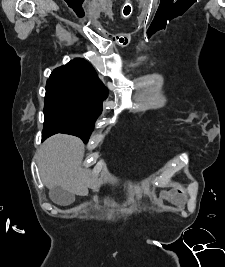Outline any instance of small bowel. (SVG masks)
<instances>
[{
  "label": "small bowel",
  "instance_id": "small-bowel-1",
  "mask_svg": "<svg viewBox=\"0 0 225 267\" xmlns=\"http://www.w3.org/2000/svg\"><path fill=\"white\" fill-rule=\"evenodd\" d=\"M163 200L170 201L178 207H182L184 205L183 195L176 194V193H170V194L165 195Z\"/></svg>",
  "mask_w": 225,
  "mask_h": 267
}]
</instances>
